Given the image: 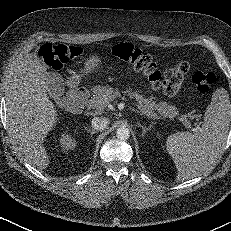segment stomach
<instances>
[{
    "label": "stomach",
    "mask_w": 231,
    "mask_h": 231,
    "mask_svg": "<svg viewBox=\"0 0 231 231\" xmlns=\"http://www.w3.org/2000/svg\"><path fill=\"white\" fill-rule=\"evenodd\" d=\"M99 62L100 59L97 56L89 58V60L85 63L84 69H82L80 73H82V75H88L89 72L97 70L99 68ZM77 81L78 78H72L70 83L75 84Z\"/></svg>",
    "instance_id": "1"
}]
</instances>
